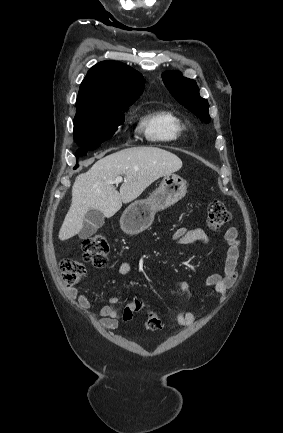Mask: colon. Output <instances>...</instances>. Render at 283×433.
<instances>
[{"instance_id":"1","label":"colon","mask_w":283,"mask_h":433,"mask_svg":"<svg viewBox=\"0 0 283 433\" xmlns=\"http://www.w3.org/2000/svg\"><path fill=\"white\" fill-rule=\"evenodd\" d=\"M230 220V213L220 201H211L207 206L206 225L209 229L216 231L221 229ZM83 259L97 268H104L108 261L109 243L107 237L102 233L94 234L82 243ZM61 271L64 282L68 286L77 284L85 272L84 266L71 259L61 262ZM142 308L138 300L128 304L123 311V319L129 321L134 314ZM145 326L149 331H156L162 326V318L153 312L147 316Z\"/></svg>"}]
</instances>
